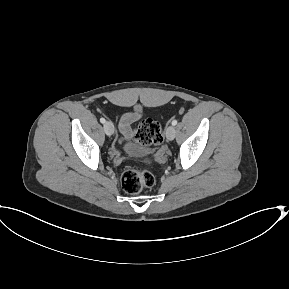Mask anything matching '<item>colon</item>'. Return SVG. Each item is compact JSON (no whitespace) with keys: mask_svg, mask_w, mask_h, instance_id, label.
I'll use <instances>...</instances> for the list:
<instances>
[{"mask_svg":"<svg viewBox=\"0 0 289 289\" xmlns=\"http://www.w3.org/2000/svg\"><path fill=\"white\" fill-rule=\"evenodd\" d=\"M135 140L141 145H160L163 141L160 124L153 119L143 120L135 130ZM155 183L153 174L146 170L129 167L121 177L123 190L128 194H137L151 188Z\"/></svg>","mask_w":289,"mask_h":289,"instance_id":"5ec220e1","label":"colon"}]
</instances>
